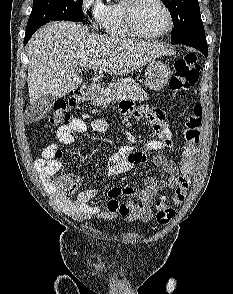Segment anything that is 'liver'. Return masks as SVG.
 I'll list each match as a JSON object with an SVG mask.
<instances>
[{
  "mask_svg": "<svg viewBox=\"0 0 233 294\" xmlns=\"http://www.w3.org/2000/svg\"><path fill=\"white\" fill-rule=\"evenodd\" d=\"M27 50L30 105L43 96L64 97L81 85L78 67L83 59L93 61L95 71L123 75L172 53L158 42L96 35L68 21L39 29Z\"/></svg>",
  "mask_w": 233,
  "mask_h": 294,
  "instance_id": "6515ba94",
  "label": "liver"
}]
</instances>
